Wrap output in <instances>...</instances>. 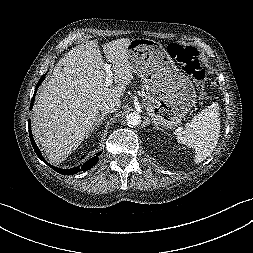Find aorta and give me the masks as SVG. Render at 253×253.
Here are the masks:
<instances>
[{
    "mask_svg": "<svg viewBox=\"0 0 253 253\" xmlns=\"http://www.w3.org/2000/svg\"><path fill=\"white\" fill-rule=\"evenodd\" d=\"M127 125L130 127L138 126L141 122V117L138 113L133 112L127 115L126 117Z\"/></svg>",
    "mask_w": 253,
    "mask_h": 253,
    "instance_id": "obj_1",
    "label": "aorta"
}]
</instances>
